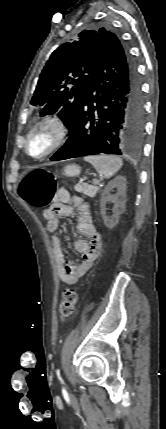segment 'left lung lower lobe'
<instances>
[{"mask_svg": "<svg viewBox=\"0 0 166 429\" xmlns=\"http://www.w3.org/2000/svg\"><path fill=\"white\" fill-rule=\"evenodd\" d=\"M144 100L136 67L116 35L98 43L69 138L50 160L140 151Z\"/></svg>", "mask_w": 166, "mask_h": 429, "instance_id": "1", "label": "left lung lower lobe"}]
</instances>
